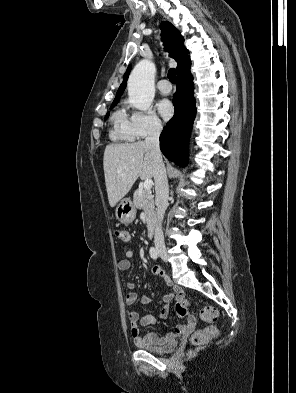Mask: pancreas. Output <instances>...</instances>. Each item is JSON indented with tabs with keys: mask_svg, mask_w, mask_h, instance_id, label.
Listing matches in <instances>:
<instances>
[{
	"mask_svg": "<svg viewBox=\"0 0 296 393\" xmlns=\"http://www.w3.org/2000/svg\"><path fill=\"white\" fill-rule=\"evenodd\" d=\"M133 204L136 208L142 209L146 216L148 229L155 223L156 215L154 211V196L151 191L138 189L133 196Z\"/></svg>",
	"mask_w": 296,
	"mask_h": 393,
	"instance_id": "obj_1",
	"label": "pancreas"
}]
</instances>
